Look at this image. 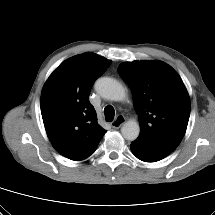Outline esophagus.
<instances>
[{
  "label": "esophagus",
  "mask_w": 215,
  "mask_h": 215,
  "mask_svg": "<svg viewBox=\"0 0 215 215\" xmlns=\"http://www.w3.org/2000/svg\"><path fill=\"white\" fill-rule=\"evenodd\" d=\"M126 119L124 116L119 115L112 123V127L115 129L120 128L124 123H125Z\"/></svg>",
  "instance_id": "esophagus-1"
}]
</instances>
